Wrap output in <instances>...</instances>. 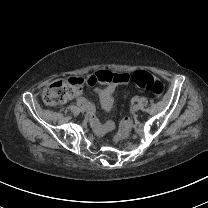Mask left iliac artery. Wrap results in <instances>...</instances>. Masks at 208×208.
Here are the masks:
<instances>
[{"label":"left iliac artery","mask_w":208,"mask_h":208,"mask_svg":"<svg viewBox=\"0 0 208 208\" xmlns=\"http://www.w3.org/2000/svg\"><path fill=\"white\" fill-rule=\"evenodd\" d=\"M133 100H134V101H138V98H137V97H134Z\"/></svg>","instance_id":"left-iliac-artery-1"}]
</instances>
